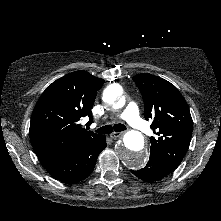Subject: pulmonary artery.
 <instances>
[{
	"instance_id": "pulmonary-artery-1",
	"label": "pulmonary artery",
	"mask_w": 221,
	"mask_h": 221,
	"mask_svg": "<svg viewBox=\"0 0 221 221\" xmlns=\"http://www.w3.org/2000/svg\"><path fill=\"white\" fill-rule=\"evenodd\" d=\"M120 118L126 120L132 127L144 132L149 133V125L140 117L139 109L135 102H130L125 110L120 115Z\"/></svg>"
}]
</instances>
